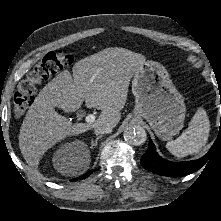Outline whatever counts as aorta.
Wrapping results in <instances>:
<instances>
[{
	"instance_id": "aorta-1",
	"label": "aorta",
	"mask_w": 221,
	"mask_h": 221,
	"mask_svg": "<svg viewBox=\"0 0 221 221\" xmlns=\"http://www.w3.org/2000/svg\"><path fill=\"white\" fill-rule=\"evenodd\" d=\"M124 140L130 145H141L146 141L147 134L143 127L129 126L124 130L123 133Z\"/></svg>"
}]
</instances>
